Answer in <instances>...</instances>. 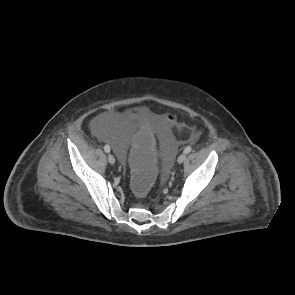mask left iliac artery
<instances>
[{
    "label": "left iliac artery",
    "instance_id": "44dca946",
    "mask_svg": "<svg viewBox=\"0 0 295 295\" xmlns=\"http://www.w3.org/2000/svg\"><path fill=\"white\" fill-rule=\"evenodd\" d=\"M191 150H192L191 146H187V147L184 149L183 152H184L185 154H188V153L191 152Z\"/></svg>",
    "mask_w": 295,
    "mask_h": 295
}]
</instances>
